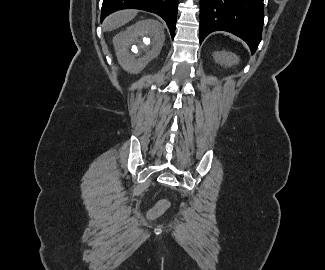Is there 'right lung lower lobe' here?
I'll return each mask as SVG.
<instances>
[{
  "instance_id": "right-lung-lower-lobe-1",
  "label": "right lung lower lobe",
  "mask_w": 325,
  "mask_h": 270,
  "mask_svg": "<svg viewBox=\"0 0 325 270\" xmlns=\"http://www.w3.org/2000/svg\"><path fill=\"white\" fill-rule=\"evenodd\" d=\"M178 0H103L101 20L126 8L141 9L161 16L168 25L172 39L175 34Z\"/></svg>"
}]
</instances>
